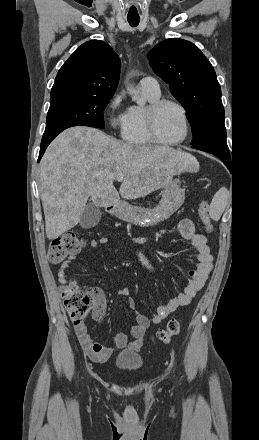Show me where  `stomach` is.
<instances>
[{"label": "stomach", "instance_id": "1", "mask_svg": "<svg viewBox=\"0 0 259 440\" xmlns=\"http://www.w3.org/2000/svg\"><path fill=\"white\" fill-rule=\"evenodd\" d=\"M185 199L184 190L180 187V181L172 180L164 187L159 204L153 208L133 206L125 202H119L113 209V215L117 218L139 226H154L175 213Z\"/></svg>", "mask_w": 259, "mask_h": 440}]
</instances>
